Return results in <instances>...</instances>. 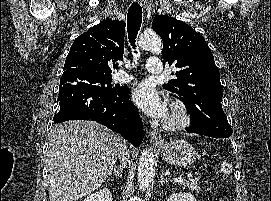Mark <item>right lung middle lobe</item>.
<instances>
[{
	"label": "right lung middle lobe",
	"instance_id": "1",
	"mask_svg": "<svg viewBox=\"0 0 271 201\" xmlns=\"http://www.w3.org/2000/svg\"><path fill=\"white\" fill-rule=\"evenodd\" d=\"M112 75L90 72L83 69H73L62 73L60 87L71 83L82 89H99L104 92H113L118 87L111 84Z\"/></svg>",
	"mask_w": 271,
	"mask_h": 201
}]
</instances>
